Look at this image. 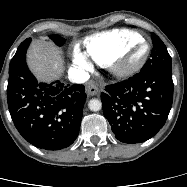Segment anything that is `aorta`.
<instances>
[{
	"label": "aorta",
	"instance_id": "aorta-1",
	"mask_svg": "<svg viewBox=\"0 0 187 187\" xmlns=\"http://www.w3.org/2000/svg\"><path fill=\"white\" fill-rule=\"evenodd\" d=\"M88 107H89V109L91 110V111H94V112H96V111H99V110H101V108H102V103H101V101L100 100H98V99H91L90 101H89V103H88Z\"/></svg>",
	"mask_w": 187,
	"mask_h": 187
}]
</instances>
